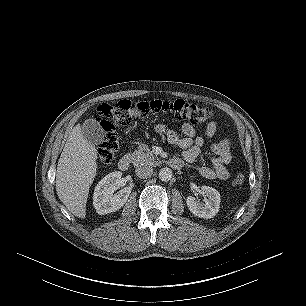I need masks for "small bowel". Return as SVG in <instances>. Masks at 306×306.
I'll use <instances>...</instances> for the list:
<instances>
[{"label": "small bowel", "instance_id": "obj_1", "mask_svg": "<svg viewBox=\"0 0 306 306\" xmlns=\"http://www.w3.org/2000/svg\"><path fill=\"white\" fill-rule=\"evenodd\" d=\"M183 136L178 135L173 130L167 129L163 126L159 131L164 134L169 143L175 147L183 150V159L172 158L171 160L179 161L182 165L185 163H192L199 155L201 147L207 140L211 139L218 130L217 122H210L207 124L204 134L196 136L195 128L188 123L182 125ZM212 156L209 159V166H201L198 168V173L206 179L226 180L230 173L227 165L231 162L233 155L231 152V142L228 139L210 145Z\"/></svg>", "mask_w": 306, "mask_h": 306}]
</instances>
